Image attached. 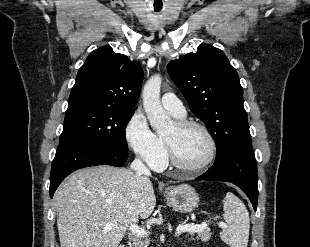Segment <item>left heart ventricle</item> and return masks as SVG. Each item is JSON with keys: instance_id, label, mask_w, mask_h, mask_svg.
Segmentation results:
<instances>
[{"instance_id": "1", "label": "left heart ventricle", "mask_w": 310, "mask_h": 247, "mask_svg": "<svg viewBox=\"0 0 310 247\" xmlns=\"http://www.w3.org/2000/svg\"><path fill=\"white\" fill-rule=\"evenodd\" d=\"M173 147L177 159L184 165L197 166L210 152L206 135L198 128L178 130L173 124L164 134Z\"/></svg>"}]
</instances>
